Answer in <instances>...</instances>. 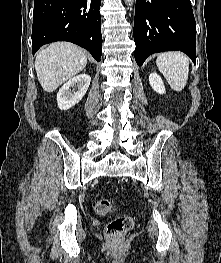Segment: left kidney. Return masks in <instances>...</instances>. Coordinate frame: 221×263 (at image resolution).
<instances>
[{
    "label": "left kidney",
    "mask_w": 221,
    "mask_h": 263,
    "mask_svg": "<svg viewBox=\"0 0 221 263\" xmlns=\"http://www.w3.org/2000/svg\"><path fill=\"white\" fill-rule=\"evenodd\" d=\"M149 83L152 89L157 93L164 94L166 92L164 83L157 73H151L149 75Z\"/></svg>",
    "instance_id": "obj_1"
}]
</instances>
